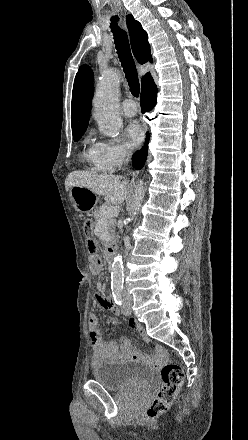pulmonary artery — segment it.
Returning <instances> with one entry per match:
<instances>
[{
    "mask_svg": "<svg viewBox=\"0 0 248 440\" xmlns=\"http://www.w3.org/2000/svg\"><path fill=\"white\" fill-rule=\"evenodd\" d=\"M121 112L124 116L132 117L137 112V106L135 102L131 99H126L121 105Z\"/></svg>",
    "mask_w": 248,
    "mask_h": 440,
    "instance_id": "pulmonary-artery-1",
    "label": "pulmonary artery"
}]
</instances>
